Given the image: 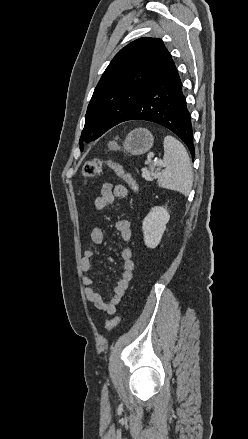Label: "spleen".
<instances>
[{
	"label": "spleen",
	"instance_id": "1",
	"mask_svg": "<svg viewBox=\"0 0 248 439\" xmlns=\"http://www.w3.org/2000/svg\"><path fill=\"white\" fill-rule=\"evenodd\" d=\"M165 169L158 176V185L187 196L193 185L190 159L185 147L172 136L164 138Z\"/></svg>",
	"mask_w": 248,
	"mask_h": 439
}]
</instances>
